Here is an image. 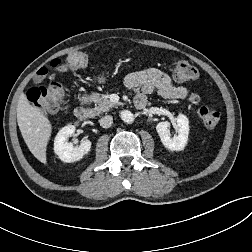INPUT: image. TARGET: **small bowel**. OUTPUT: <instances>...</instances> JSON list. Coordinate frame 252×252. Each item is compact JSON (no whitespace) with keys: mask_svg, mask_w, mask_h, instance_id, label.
<instances>
[{"mask_svg":"<svg viewBox=\"0 0 252 252\" xmlns=\"http://www.w3.org/2000/svg\"><path fill=\"white\" fill-rule=\"evenodd\" d=\"M126 86L136 92L135 104L143 107L147 97L153 93L168 99H183L189 90L173 83L171 78L156 68H148L128 75Z\"/></svg>","mask_w":252,"mask_h":252,"instance_id":"1","label":"small bowel"}]
</instances>
